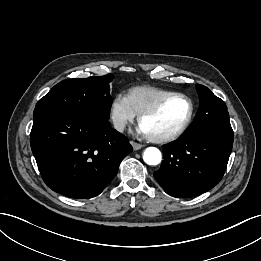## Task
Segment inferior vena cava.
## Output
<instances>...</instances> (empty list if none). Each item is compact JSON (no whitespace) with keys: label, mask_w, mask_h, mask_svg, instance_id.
Segmentation results:
<instances>
[{"label":"inferior vena cava","mask_w":261,"mask_h":261,"mask_svg":"<svg viewBox=\"0 0 261 261\" xmlns=\"http://www.w3.org/2000/svg\"><path fill=\"white\" fill-rule=\"evenodd\" d=\"M114 127L118 131H123L125 128V123L122 120H115Z\"/></svg>","instance_id":"inferior-vena-cava-1"}]
</instances>
